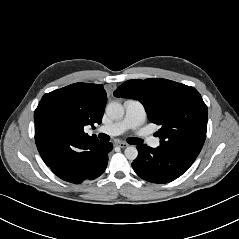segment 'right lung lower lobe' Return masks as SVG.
Listing matches in <instances>:
<instances>
[{"mask_svg":"<svg viewBox=\"0 0 239 239\" xmlns=\"http://www.w3.org/2000/svg\"><path fill=\"white\" fill-rule=\"evenodd\" d=\"M110 142H75L61 147L46 164L64 181L74 184L98 178L106 169Z\"/></svg>","mask_w":239,"mask_h":239,"instance_id":"1","label":"right lung lower lobe"}]
</instances>
